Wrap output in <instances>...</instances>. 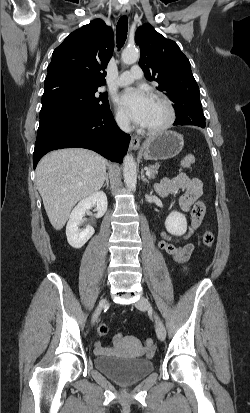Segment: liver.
Here are the masks:
<instances>
[{"label": "liver", "instance_id": "obj_1", "mask_svg": "<svg viewBox=\"0 0 250 413\" xmlns=\"http://www.w3.org/2000/svg\"><path fill=\"white\" fill-rule=\"evenodd\" d=\"M107 161L99 154L68 148L45 155L36 168V183L49 221L61 230L74 205L97 192L106 177Z\"/></svg>", "mask_w": 250, "mask_h": 413}]
</instances>
